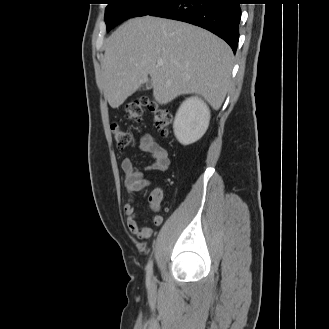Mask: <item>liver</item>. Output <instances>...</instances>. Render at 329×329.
<instances>
[{
  "mask_svg": "<svg viewBox=\"0 0 329 329\" xmlns=\"http://www.w3.org/2000/svg\"><path fill=\"white\" fill-rule=\"evenodd\" d=\"M102 67L104 96L112 108L122 105L150 75L159 104L195 93L218 110L230 85L233 52L205 29L145 16L128 20L111 34Z\"/></svg>",
  "mask_w": 329,
  "mask_h": 329,
  "instance_id": "6515ba94",
  "label": "liver"
}]
</instances>
